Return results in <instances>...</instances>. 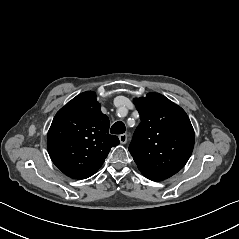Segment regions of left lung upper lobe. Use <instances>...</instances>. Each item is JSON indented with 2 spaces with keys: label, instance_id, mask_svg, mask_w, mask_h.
<instances>
[{
  "label": "left lung upper lobe",
  "instance_id": "obj_1",
  "mask_svg": "<svg viewBox=\"0 0 239 239\" xmlns=\"http://www.w3.org/2000/svg\"><path fill=\"white\" fill-rule=\"evenodd\" d=\"M141 123L129 151L140 171L174 175L191 156L195 134L185 111L158 93L134 99Z\"/></svg>",
  "mask_w": 239,
  "mask_h": 239
}]
</instances>
